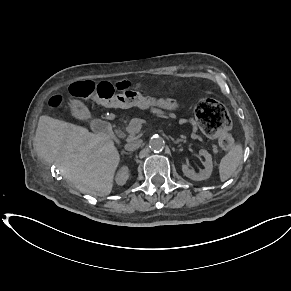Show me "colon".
<instances>
[{
    "mask_svg": "<svg viewBox=\"0 0 291 291\" xmlns=\"http://www.w3.org/2000/svg\"><path fill=\"white\" fill-rule=\"evenodd\" d=\"M70 94L79 99L93 100L102 105L109 106H138L146 111L153 105L154 112H176L182 109L184 104L177 97H168L161 94L154 97L148 94L146 97L129 89L126 82H77L70 86ZM64 103L62 95H55L48 101L50 108H59ZM196 120L204 134L216 137L220 146L227 150L233 146L234 140L229 133L231 119L226 108L217 100L205 98L199 101L195 108Z\"/></svg>",
    "mask_w": 291,
    "mask_h": 291,
    "instance_id": "1",
    "label": "colon"
}]
</instances>
